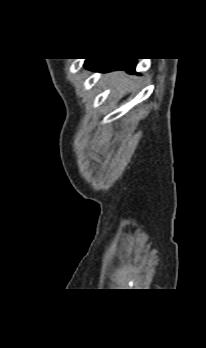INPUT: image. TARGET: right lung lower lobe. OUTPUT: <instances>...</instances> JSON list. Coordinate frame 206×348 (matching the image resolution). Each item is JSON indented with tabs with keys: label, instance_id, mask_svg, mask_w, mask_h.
<instances>
[{
	"label": "right lung lower lobe",
	"instance_id": "right-lung-lower-lobe-1",
	"mask_svg": "<svg viewBox=\"0 0 206 348\" xmlns=\"http://www.w3.org/2000/svg\"><path fill=\"white\" fill-rule=\"evenodd\" d=\"M135 59H89L86 61V68L90 70H125L128 73H135Z\"/></svg>",
	"mask_w": 206,
	"mask_h": 348
}]
</instances>
